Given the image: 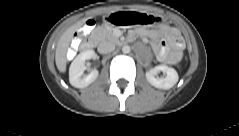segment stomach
I'll return each instance as SVG.
<instances>
[{"mask_svg":"<svg viewBox=\"0 0 239 136\" xmlns=\"http://www.w3.org/2000/svg\"><path fill=\"white\" fill-rule=\"evenodd\" d=\"M105 22L111 25H143L162 27L163 17H154L149 14L135 13L132 11L106 10Z\"/></svg>","mask_w":239,"mask_h":136,"instance_id":"0dacf381","label":"stomach"}]
</instances>
